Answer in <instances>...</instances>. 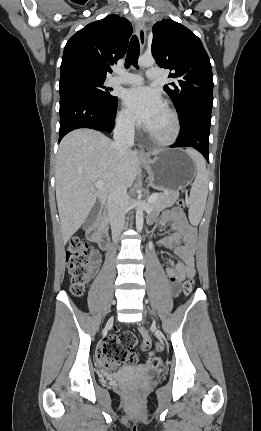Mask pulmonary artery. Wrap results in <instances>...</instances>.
Returning <instances> with one entry per match:
<instances>
[{
	"label": "pulmonary artery",
	"mask_w": 261,
	"mask_h": 431,
	"mask_svg": "<svg viewBox=\"0 0 261 431\" xmlns=\"http://www.w3.org/2000/svg\"><path fill=\"white\" fill-rule=\"evenodd\" d=\"M119 74L110 79L111 84H126V85H139L143 82V77L139 74L135 73H121L117 71ZM162 71L160 68L152 67L150 68L146 76L150 80L159 79L161 77Z\"/></svg>",
	"instance_id": "1"
}]
</instances>
